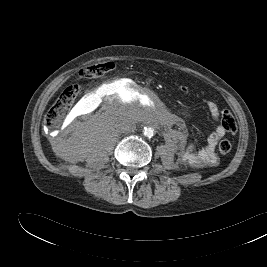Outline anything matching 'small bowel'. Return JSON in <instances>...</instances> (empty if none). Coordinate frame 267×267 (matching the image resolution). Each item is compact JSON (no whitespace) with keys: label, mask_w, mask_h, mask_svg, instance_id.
I'll return each instance as SVG.
<instances>
[{"label":"small bowel","mask_w":267,"mask_h":267,"mask_svg":"<svg viewBox=\"0 0 267 267\" xmlns=\"http://www.w3.org/2000/svg\"><path fill=\"white\" fill-rule=\"evenodd\" d=\"M207 109L216 122L221 120V110L214 102L207 103ZM229 132L222 123H218L214 131L208 136L207 144L204 148H197L193 145L185 146L180 149L181 160L194 167L214 166L218 162L216 146L219 140Z\"/></svg>","instance_id":"1"}]
</instances>
